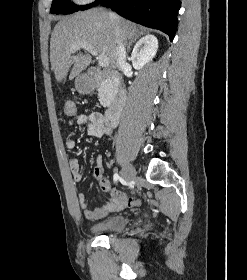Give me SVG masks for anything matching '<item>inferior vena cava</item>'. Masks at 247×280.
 I'll return each mask as SVG.
<instances>
[{"label":"inferior vena cava","mask_w":247,"mask_h":280,"mask_svg":"<svg viewBox=\"0 0 247 280\" xmlns=\"http://www.w3.org/2000/svg\"><path fill=\"white\" fill-rule=\"evenodd\" d=\"M109 16L111 18H115V14L113 13H109ZM115 31H116V35L119 36L121 34V28L116 25L115 27ZM116 64L118 68L123 67L124 65H126V49H125V43H123L122 41L118 40V46L116 49Z\"/></svg>","instance_id":"inferior-vena-cava-1"}]
</instances>
